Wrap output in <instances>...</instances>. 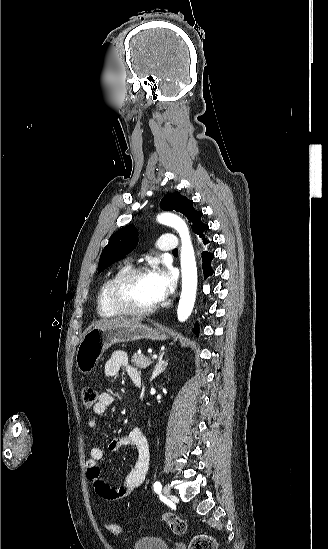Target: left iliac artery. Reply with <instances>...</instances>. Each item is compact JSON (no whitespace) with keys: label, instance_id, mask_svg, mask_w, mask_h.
I'll use <instances>...</instances> for the list:
<instances>
[{"label":"left iliac artery","instance_id":"1","mask_svg":"<svg viewBox=\"0 0 328 549\" xmlns=\"http://www.w3.org/2000/svg\"><path fill=\"white\" fill-rule=\"evenodd\" d=\"M153 487H154V491H155L156 493H160V492H161L162 485H161L160 482H158V481L155 482L154 485H153Z\"/></svg>","mask_w":328,"mask_h":549}]
</instances>
